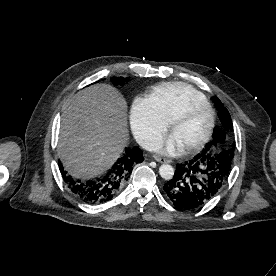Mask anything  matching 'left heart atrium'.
<instances>
[{
    "label": "left heart atrium",
    "instance_id": "39dd6f15",
    "mask_svg": "<svg viewBox=\"0 0 276 276\" xmlns=\"http://www.w3.org/2000/svg\"><path fill=\"white\" fill-rule=\"evenodd\" d=\"M184 148L183 143L173 133L156 147L157 150L171 156L180 154Z\"/></svg>",
    "mask_w": 276,
    "mask_h": 276
}]
</instances>
